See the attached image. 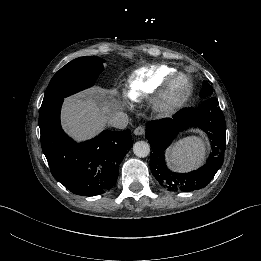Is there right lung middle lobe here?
<instances>
[{
	"instance_id": "dd1d6c3e",
	"label": "right lung middle lobe",
	"mask_w": 261,
	"mask_h": 261,
	"mask_svg": "<svg viewBox=\"0 0 261 261\" xmlns=\"http://www.w3.org/2000/svg\"><path fill=\"white\" fill-rule=\"evenodd\" d=\"M104 62L96 56H86L66 64L51 79L42 105L91 87L103 71Z\"/></svg>"
}]
</instances>
